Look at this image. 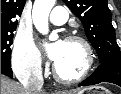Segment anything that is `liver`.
I'll list each match as a JSON object with an SVG mask.
<instances>
[{"instance_id":"6515ba94","label":"liver","mask_w":121,"mask_h":94,"mask_svg":"<svg viewBox=\"0 0 121 94\" xmlns=\"http://www.w3.org/2000/svg\"><path fill=\"white\" fill-rule=\"evenodd\" d=\"M76 91H55L52 94H75ZM1 94H30L19 83L1 74ZM36 94H43L42 92Z\"/></svg>"}]
</instances>
